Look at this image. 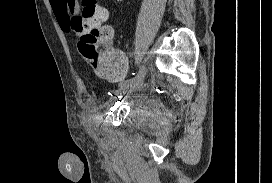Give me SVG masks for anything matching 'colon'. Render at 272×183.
Listing matches in <instances>:
<instances>
[{
    "label": "colon",
    "mask_w": 272,
    "mask_h": 183,
    "mask_svg": "<svg viewBox=\"0 0 272 183\" xmlns=\"http://www.w3.org/2000/svg\"><path fill=\"white\" fill-rule=\"evenodd\" d=\"M75 0H68L67 27L80 39L79 51L87 65L96 71L108 70L118 61V55L109 47L110 32L102 26L107 10L96 0H81L82 9L75 13Z\"/></svg>",
    "instance_id": "obj_1"
}]
</instances>
